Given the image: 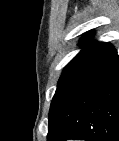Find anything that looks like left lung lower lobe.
<instances>
[{"instance_id":"left-lung-lower-lobe-1","label":"left lung lower lobe","mask_w":119,"mask_h":141,"mask_svg":"<svg viewBox=\"0 0 119 141\" xmlns=\"http://www.w3.org/2000/svg\"><path fill=\"white\" fill-rule=\"evenodd\" d=\"M48 120L47 141H119V56L111 44L54 95Z\"/></svg>"}]
</instances>
